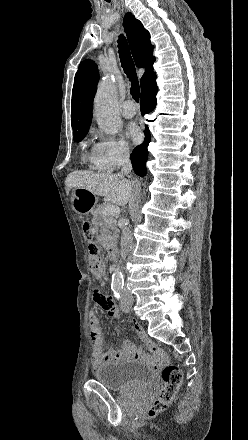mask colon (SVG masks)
I'll return each mask as SVG.
<instances>
[{
    "instance_id": "colon-1",
    "label": "colon",
    "mask_w": 248,
    "mask_h": 440,
    "mask_svg": "<svg viewBox=\"0 0 248 440\" xmlns=\"http://www.w3.org/2000/svg\"><path fill=\"white\" fill-rule=\"evenodd\" d=\"M84 232L88 239H91L90 223L85 222ZM89 264L92 272L95 275L102 274V263L99 258V250L93 243L89 244ZM182 371L175 365H167L162 370V379L164 385L161 389L159 398L154 402L152 408L149 411L151 416H154L167 408L170 402L173 400L178 388L182 382Z\"/></svg>"
}]
</instances>
